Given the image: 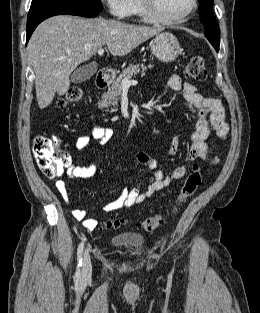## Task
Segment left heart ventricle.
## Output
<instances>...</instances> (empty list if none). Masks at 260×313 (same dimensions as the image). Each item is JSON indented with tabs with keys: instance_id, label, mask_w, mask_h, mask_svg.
I'll return each mask as SVG.
<instances>
[{
	"instance_id": "1",
	"label": "left heart ventricle",
	"mask_w": 260,
	"mask_h": 313,
	"mask_svg": "<svg viewBox=\"0 0 260 313\" xmlns=\"http://www.w3.org/2000/svg\"><path fill=\"white\" fill-rule=\"evenodd\" d=\"M191 0H156L158 13L165 18H175L185 13Z\"/></svg>"
}]
</instances>
